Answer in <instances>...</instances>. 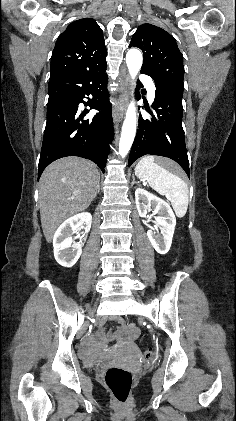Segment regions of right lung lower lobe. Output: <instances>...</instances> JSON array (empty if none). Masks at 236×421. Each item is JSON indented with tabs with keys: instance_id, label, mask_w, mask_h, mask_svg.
<instances>
[{
	"instance_id": "98d812e1",
	"label": "right lung lower lobe",
	"mask_w": 236,
	"mask_h": 421,
	"mask_svg": "<svg viewBox=\"0 0 236 421\" xmlns=\"http://www.w3.org/2000/svg\"><path fill=\"white\" fill-rule=\"evenodd\" d=\"M106 67L107 64L49 82L48 88L62 95L48 100L38 178L51 162L66 156L90 159L105 172L109 144L114 137ZM89 95L92 99L87 97ZM83 98L90 102L86 104ZM80 103L99 113L91 119H83L86 111H80Z\"/></svg>"
}]
</instances>
